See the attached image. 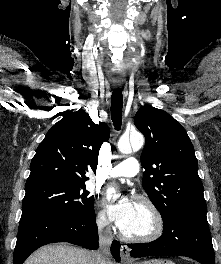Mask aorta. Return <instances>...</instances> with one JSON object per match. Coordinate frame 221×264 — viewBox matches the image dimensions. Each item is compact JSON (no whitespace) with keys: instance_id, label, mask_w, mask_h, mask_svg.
Segmentation results:
<instances>
[{"instance_id":"obj_1","label":"aorta","mask_w":221,"mask_h":264,"mask_svg":"<svg viewBox=\"0 0 221 264\" xmlns=\"http://www.w3.org/2000/svg\"><path fill=\"white\" fill-rule=\"evenodd\" d=\"M143 143L144 137L140 133H134L130 135V141L122 137L118 142V149L122 154H130L132 149L139 150L143 146Z\"/></svg>"}]
</instances>
